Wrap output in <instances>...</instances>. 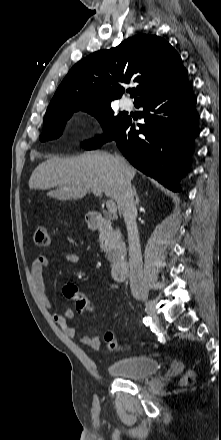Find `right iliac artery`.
Masks as SVG:
<instances>
[{
  "label": "right iliac artery",
  "mask_w": 221,
  "mask_h": 440,
  "mask_svg": "<svg viewBox=\"0 0 221 440\" xmlns=\"http://www.w3.org/2000/svg\"><path fill=\"white\" fill-rule=\"evenodd\" d=\"M151 321H152V319H151L150 317H145V318H143V323H144L145 325L150 324Z\"/></svg>",
  "instance_id": "1"
}]
</instances>
